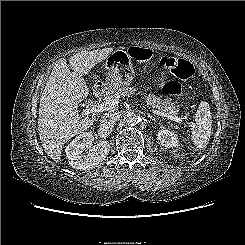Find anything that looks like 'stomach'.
Masks as SVG:
<instances>
[{"label": "stomach", "instance_id": "stomach-1", "mask_svg": "<svg viewBox=\"0 0 245 245\" xmlns=\"http://www.w3.org/2000/svg\"><path fill=\"white\" fill-rule=\"evenodd\" d=\"M105 67L108 70V75L104 84L110 91H114L120 86L129 85L134 79L131 59L125 50L117 49L112 52L107 57ZM177 108L178 104L172 103L169 110L176 111Z\"/></svg>", "mask_w": 245, "mask_h": 245}]
</instances>
